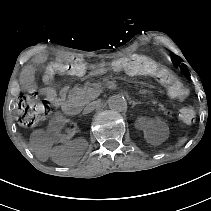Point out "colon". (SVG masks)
Segmentation results:
<instances>
[{"label": "colon", "mask_w": 211, "mask_h": 211, "mask_svg": "<svg viewBox=\"0 0 211 211\" xmlns=\"http://www.w3.org/2000/svg\"><path fill=\"white\" fill-rule=\"evenodd\" d=\"M88 69V65L81 59H67L61 62H53L47 66L45 80L49 81L59 74L82 75ZM95 69H107L114 72H123L128 75H151L165 84L169 93L183 100L188 95V90L173 76V74L160 66L149 57L130 55L111 62H102ZM50 111V101L41 91L23 94L18 101V121L24 127H32L45 119ZM181 121L191 125L195 121L196 112L191 107L181 109L179 113Z\"/></svg>", "instance_id": "colon-1"}]
</instances>
